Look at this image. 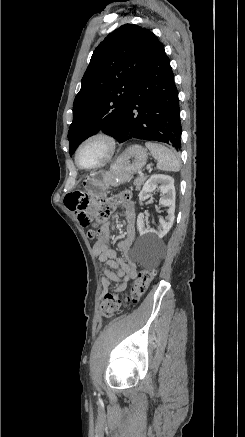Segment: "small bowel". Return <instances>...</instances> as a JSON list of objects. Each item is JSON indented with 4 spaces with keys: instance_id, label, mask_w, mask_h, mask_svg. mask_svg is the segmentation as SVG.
<instances>
[{
    "instance_id": "1",
    "label": "small bowel",
    "mask_w": 245,
    "mask_h": 437,
    "mask_svg": "<svg viewBox=\"0 0 245 437\" xmlns=\"http://www.w3.org/2000/svg\"><path fill=\"white\" fill-rule=\"evenodd\" d=\"M66 205L69 210L76 214L77 222L80 224L81 229H90L92 227L88 213L90 202L83 192L69 194L66 197ZM113 207L121 209L126 220L125 236L118 243V248L123 252V257H118L116 252L109 246V224H103L99 227L98 237L93 245V254L98 258L100 265L104 266L103 289L107 290L112 282H117L118 286L115 291L120 293L137 276L136 263L129 255L136 236V215L134 204L130 201L116 202Z\"/></svg>"
}]
</instances>
